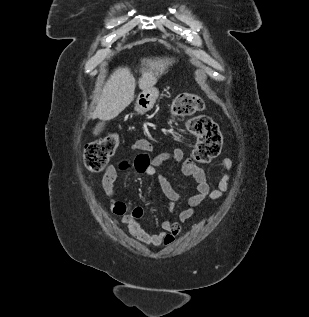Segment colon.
<instances>
[{
  "label": "colon",
  "instance_id": "5ec220e1",
  "mask_svg": "<svg viewBox=\"0 0 309 317\" xmlns=\"http://www.w3.org/2000/svg\"><path fill=\"white\" fill-rule=\"evenodd\" d=\"M203 109L202 99L193 93H182L175 97L171 112L176 117H190ZM188 128L196 137L191 157L195 163H208L218 156L222 146V135L218 125L208 116H193ZM119 139L115 133L92 141L85 146L84 164L92 172L102 171L116 152Z\"/></svg>",
  "mask_w": 309,
  "mask_h": 317
}]
</instances>
